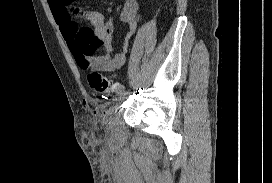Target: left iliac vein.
Here are the masks:
<instances>
[{"label": "left iliac vein", "mask_w": 272, "mask_h": 183, "mask_svg": "<svg viewBox=\"0 0 272 183\" xmlns=\"http://www.w3.org/2000/svg\"><path fill=\"white\" fill-rule=\"evenodd\" d=\"M127 95L128 92L119 94L116 98L117 104H120L126 98Z\"/></svg>", "instance_id": "left-iliac-vein-1"}]
</instances>
